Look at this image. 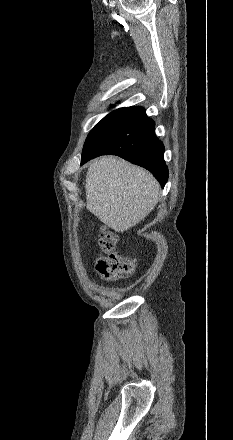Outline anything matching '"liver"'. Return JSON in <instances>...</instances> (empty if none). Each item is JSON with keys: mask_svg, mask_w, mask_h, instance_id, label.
Segmentation results:
<instances>
[{"mask_svg": "<svg viewBox=\"0 0 233 440\" xmlns=\"http://www.w3.org/2000/svg\"><path fill=\"white\" fill-rule=\"evenodd\" d=\"M85 182L87 209L117 232L136 226L158 202L152 174L115 156L90 162Z\"/></svg>", "mask_w": 233, "mask_h": 440, "instance_id": "1", "label": "liver"}]
</instances>
